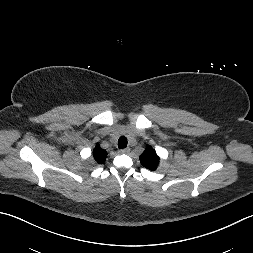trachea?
<instances>
[{
	"mask_svg": "<svg viewBox=\"0 0 253 253\" xmlns=\"http://www.w3.org/2000/svg\"><path fill=\"white\" fill-rule=\"evenodd\" d=\"M126 146H127V138L125 136H121L118 140V147L126 148Z\"/></svg>",
	"mask_w": 253,
	"mask_h": 253,
	"instance_id": "3493384b",
	"label": "trachea"
}]
</instances>
